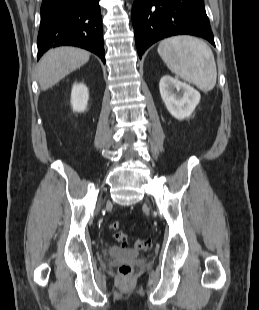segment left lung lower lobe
<instances>
[{"mask_svg": "<svg viewBox=\"0 0 259 310\" xmlns=\"http://www.w3.org/2000/svg\"><path fill=\"white\" fill-rule=\"evenodd\" d=\"M132 23L140 59L153 43L173 35H194L215 45L204 0H135Z\"/></svg>", "mask_w": 259, "mask_h": 310, "instance_id": "left-lung-lower-lobe-1", "label": "left lung lower lobe"}]
</instances>
